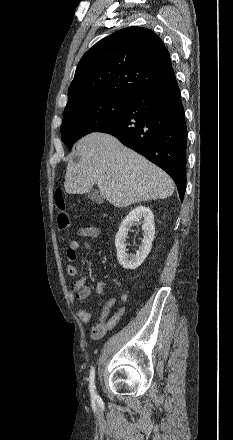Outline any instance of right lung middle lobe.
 Wrapping results in <instances>:
<instances>
[{"label": "right lung middle lobe", "mask_w": 233, "mask_h": 440, "mask_svg": "<svg viewBox=\"0 0 233 440\" xmlns=\"http://www.w3.org/2000/svg\"><path fill=\"white\" fill-rule=\"evenodd\" d=\"M129 99L96 97L67 105L61 125L62 141L69 150L83 136L115 120L125 109Z\"/></svg>", "instance_id": "1"}]
</instances>
